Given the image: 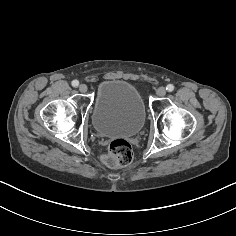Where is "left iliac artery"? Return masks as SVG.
Segmentation results:
<instances>
[{
  "instance_id": "left-iliac-artery-1",
  "label": "left iliac artery",
  "mask_w": 236,
  "mask_h": 236,
  "mask_svg": "<svg viewBox=\"0 0 236 236\" xmlns=\"http://www.w3.org/2000/svg\"><path fill=\"white\" fill-rule=\"evenodd\" d=\"M166 90H167L168 92H172V91L174 90V86H173L172 84H168V85L166 86Z\"/></svg>"
}]
</instances>
